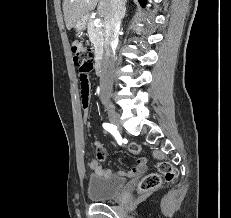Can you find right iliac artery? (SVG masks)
<instances>
[{"mask_svg":"<svg viewBox=\"0 0 231 218\" xmlns=\"http://www.w3.org/2000/svg\"><path fill=\"white\" fill-rule=\"evenodd\" d=\"M104 129H106L107 131H109L117 140L118 144L121 145L122 144V139L121 136L119 134V132L116 129L115 125H112L110 123H104L103 124Z\"/></svg>","mask_w":231,"mask_h":218,"instance_id":"right-iliac-artery-1","label":"right iliac artery"}]
</instances>
